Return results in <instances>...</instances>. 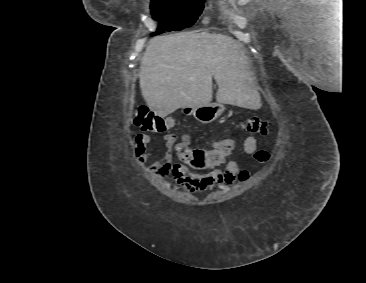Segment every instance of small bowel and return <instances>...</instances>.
Masks as SVG:
<instances>
[{"instance_id": "obj_1", "label": "small bowel", "mask_w": 366, "mask_h": 283, "mask_svg": "<svg viewBox=\"0 0 366 283\" xmlns=\"http://www.w3.org/2000/svg\"><path fill=\"white\" fill-rule=\"evenodd\" d=\"M163 139L166 151L159 160L153 162L148 167V170L159 177L167 178L188 193L205 192L217 187H229L233 185L241 172L240 165L235 160L228 161L223 170L216 168L225 162L226 156L230 153H223L218 146L212 149V151L219 160L211 166L202 169L209 170L206 173L190 170L183 164H174L173 149L177 142V136L170 133L164 135ZM151 141L152 138L148 135L139 134L136 136L135 158L139 164H145L151 156V152L147 148ZM256 149V138L253 135H248L243 142V151L251 155L255 154Z\"/></svg>"}]
</instances>
